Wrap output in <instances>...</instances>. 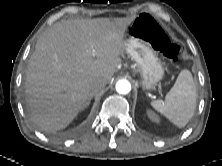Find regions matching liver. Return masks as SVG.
<instances>
[{"mask_svg":"<svg viewBox=\"0 0 222 166\" xmlns=\"http://www.w3.org/2000/svg\"><path fill=\"white\" fill-rule=\"evenodd\" d=\"M126 18L59 22L37 41L26 75V101L42 130L66 128L93 96L97 79L110 80L125 50Z\"/></svg>","mask_w":222,"mask_h":166,"instance_id":"liver-1","label":"liver"}]
</instances>
